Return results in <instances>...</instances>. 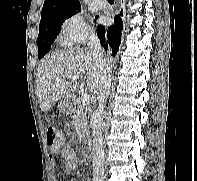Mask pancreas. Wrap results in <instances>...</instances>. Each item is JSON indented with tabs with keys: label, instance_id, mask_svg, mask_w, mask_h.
Instances as JSON below:
<instances>
[{
	"label": "pancreas",
	"instance_id": "obj_1",
	"mask_svg": "<svg viewBox=\"0 0 197 181\" xmlns=\"http://www.w3.org/2000/svg\"><path fill=\"white\" fill-rule=\"evenodd\" d=\"M71 123L76 128V133L79 141H86L89 139V126L87 122V111L82 108L81 103H77L74 108L70 110Z\"/></svg>",
	"mask_w": 197,
	"mask_h": 181
}]
</instances>
